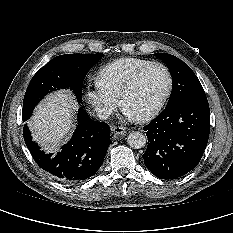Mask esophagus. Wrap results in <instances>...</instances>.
Segmentation results:
<instances>
[{
  "label": "esophagus",
  "mask_w": 233,
  "mask_h": 233,
  "mask_svg": "<svg viewBox=\"0 0 233 233\" xmlns=\"http://www.w3.org/2000/svg\"><path fill=\"white\" fill-rule=\"evenodd\" d=\"M111 131L115 136H122L126 133V128L122 126H111Z\"/></svg>",
  "instance_id": "esophagus-1"
}]
</instances>
